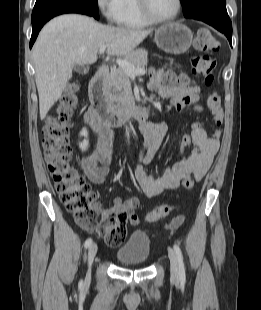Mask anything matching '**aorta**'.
I'll use <instances>...</instances> for the list:
<instances>
[{
    "label": "aorta",
    "mask_w": 261,
    "mask_h": 310,
    "mask_svg": "<svg viewBox=\"0 0 261 310\" xmlns=\"http://www.w3.org/2000/svg\"><path fill=\"white\" fill-rule=\"evenodd\" d=\"M129 135H130L129 129L126 127V136H127L128 141H129Z\"/></svg>",
    "instance_id": "obj_1"
}]
</instances>
